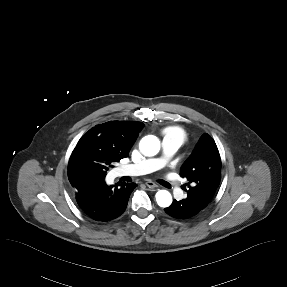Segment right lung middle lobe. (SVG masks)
<instances>
[{
  "instance_id": "1",
  "label": "right lung middle lobe",
  "mask_w": 287,
  "mask_h": 287,
  "mask_svg": "<svg viewBox=\"0 0 287 287\" xmlns=\"http://www.w3.org/2000/svg\"><path fill=\"white\" fill-rule=\"evenodd\" d=\"M115 162H118L116 158L99 152H72L68 164L69 181H78L86 176L105 178L107 171Z\"/></svg>"
}]
</instances>
